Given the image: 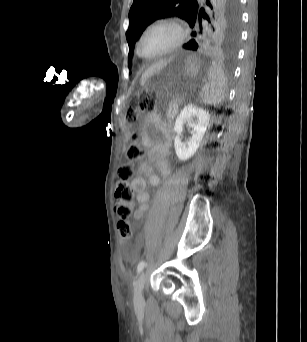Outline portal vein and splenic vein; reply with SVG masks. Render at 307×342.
I'll list each match as a JSON object with an SVG mask.
<instances>
[{
    "instance_id": "18ae733b",
    "label": "portal vein and splenic vein",
    "mask_w": 307,
    "mask_h": 342,
    "mask_svg": "<svg viewBox=\"0 0 307 342\" xmlns=\"http://www.w3.org/2000/svg\"><path fill=\"white\" fill-rule=\"evenodd\" d=\"M186 94H187V95H189L190 93H189V92H187ZM180 104L182 105L183 103L181 102Z\"/></svg>"
}]
</instances>
